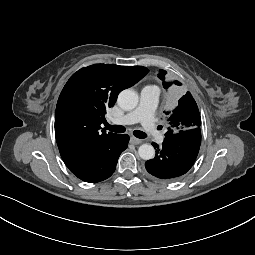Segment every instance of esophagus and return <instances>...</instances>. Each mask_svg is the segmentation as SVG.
Instances as JSON below:
<instances>
[{
	"instance_id": "1",
	"label": "esophagus",
	"mask_w": 255,
	"mask_h": 255,
	"mask_svg": "<svg viewBox=\"0 0 255 255\" xmlns=\"http://www.w3.org/2000/svg\"><path fill=\"white\" fill-rule=\"evenodd\" d=\"M130 142H131L132 144L138 145V144H141V143H142V140H141V139H138V138H136V137H134V136H131V137H130Z\"/></svg>"
}]
</instances>
